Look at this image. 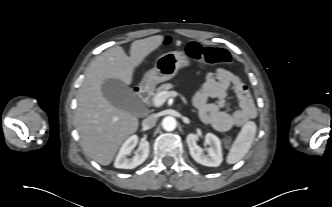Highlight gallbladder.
<instances>
[{
    "instance_id": "bac80fb5",
    "label": "gallbladder",
    "mask_w": 332,
    "mask_h": 207,
    "mask_svg": "<svg viewBox=\"0 0 332 207\" xmlns=\"http://www.w3.org/2000/svg\"><path fill=\"white\" fill-rule=\"evenodd\" d=\"M101 90L105 99L115 107L138 115L143 105L135 93L124 82L109 78L103 81Z\"/></svg>"
}]
</instances>
